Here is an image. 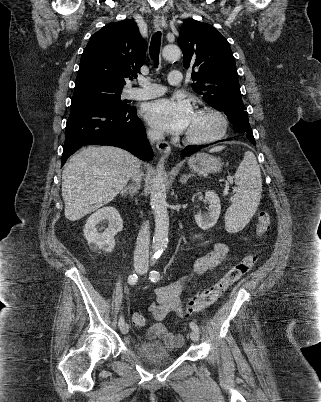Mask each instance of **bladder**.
Segmentation results:
<instances>
[{"mask_svg": "<svg viewBox=\"0 0 321 402\" xmlns=\"http://www.w3.org/2000/svg\"><path fill=\"white\" fill-rule=\"evenodd\" d=\"M143 340L137 347V355L146 362L157 363L160 361H171L174 353H171L162 343L148 338Z\"/></svg>", "mask_w": 321, "mask_h": 402, "instance_id": "obj_1", "label": "bladder"}]
</instances>
